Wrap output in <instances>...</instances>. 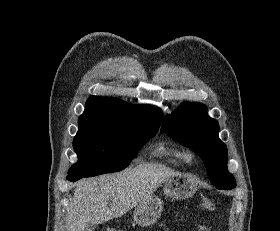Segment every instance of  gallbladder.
<instances>
[{
  "instance_id": "bac80fb5",
  "label": "gallbladder",
  "mask_w": 280,
  "mask_h": 231,
  "mask_svg": "<svg viewBox=\"0 0 280 231\" xmlns=\"http://www.w3.org/2000/svg\"><path fill=\"white\" fill-rule=\"evenodd\" d=\"M95 225L93 223H88L87 227H85V231H92L94 229Z\"/></svg>"
}]
</instances>
